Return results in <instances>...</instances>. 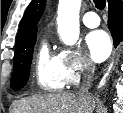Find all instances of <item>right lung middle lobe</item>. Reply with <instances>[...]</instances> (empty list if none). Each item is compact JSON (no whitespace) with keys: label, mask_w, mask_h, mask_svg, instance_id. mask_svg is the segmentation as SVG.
<instances>
[{"label":"right lung middle lobe","mask_w":123,"mask_h":113,"mask_svg":"<svg viewBox=\"0 0 123 113\" xmlns=\"http://www.w3.org/2000/svg\"><path fill=\"white\" fill-rule=\"evenodd\" d=\"M36 36L15 48L14 71L11 76V88L15 91L23 88L28 81Z\"/></svg>","instance_id":"1"}]
</instances>
